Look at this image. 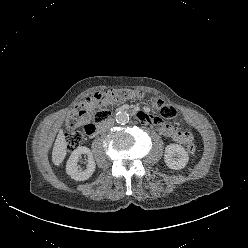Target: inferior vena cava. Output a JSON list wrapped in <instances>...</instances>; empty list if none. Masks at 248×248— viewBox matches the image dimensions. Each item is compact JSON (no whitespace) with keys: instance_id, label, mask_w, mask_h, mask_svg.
Here are the masks:
<instances>
[{"instance_id":"inferior-vena-cava-1","label":"inferior vena cava","mask_w":248,"mask_h":248,"mask_svg":"<svg viewBox=\"0 0 248 248\" xmlns=\"http://www.w3.org/2000/svg\"><path fill=\"white\" fill-rule=\"evenodd\" d=\"M114 125V119L110 118L105 121H102L99 124V128L101 131H106L107 129L111 128Z\"/></svg>"}]
</instances>
